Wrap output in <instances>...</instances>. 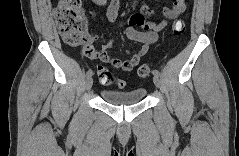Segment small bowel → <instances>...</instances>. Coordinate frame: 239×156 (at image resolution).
Here are the masks:
<instances>
[{
	"label": "small bowel",
	"instance_id": "1",
	"mask_svg": "<svg viewBox=\"0 0 239 156\" xmlns=\"http://www.w3.org/2000/svg\"><path fill=\"white\" fill-rule=\"evenodd\" d=\"M96 3L104 9L108 21L110 23H115L119 8L118 1L97 0ZM185 9L186 4L184 0H174L170 7L163 8V18L155 20L152 19L153 10L146 4H142L140 13L132 15L127 20L128 26L125 30L126 37L129 40L142 44L137 52L132 53L128 51L130 54L129 59L121 60L110 55L108 50L115 44L114 40L111 38H103V43L98 48L93 45V39L89 38L88 43L83 46V51L91 59H99L104 63L124 71H132L138 65L141 57L147 53L149 45L157 41L158 33L167 26L168 21L178 18L184 13ZM137 26L143 29L138 30L136 28Z\"/></svg>",
	"mask_w": 239,
	"mask_h": 156
}]
</instances>
